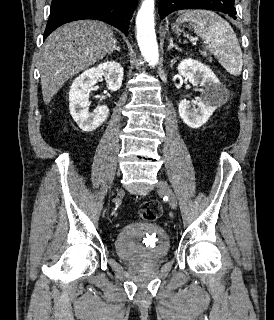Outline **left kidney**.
I'll return each instance as SVG.
<instances>
[{
    "label": "left kidney",
    "mask_w": 274,
    "mask_h": 320,
    "mask_svg": "<svg viewBox=\"0 0 274 320\" xmlns=\"http://www.w3.org/2000/svg\"><path fill=\"white\" fill-rule=\"evenodd\" d=\"M177 70L178 74L187 78L192 86L203 88L198 90L200 96L195 102L181 100L178 106L180 118L184 124L197 130L208 122L219 106H223L226 102V88L220 84L212 70L198 60H182ZM193 104H197V108Z\"/></svg>",
    "instance_id": "5707ae66"
}]
</instances>
